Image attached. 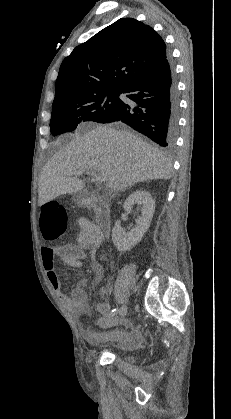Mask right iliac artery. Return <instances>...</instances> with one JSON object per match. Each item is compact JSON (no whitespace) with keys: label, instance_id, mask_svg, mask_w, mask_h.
<instances>
[{"label":"right iliac artery","instance_id":"right-iliac-artery-1","mask_svg":"<svg viewBox=\"0 0 231 419\" xmlns=\"http://www.w3.org/2000/svg\"><path fill=\"white\" fill-rule=\"evenodd\" d=\"M118 311H119V309H118V308L113 309V310H112V315L116 314Z\"/></svg>","mask_w":231,"mask_h":419}]
</instances>
